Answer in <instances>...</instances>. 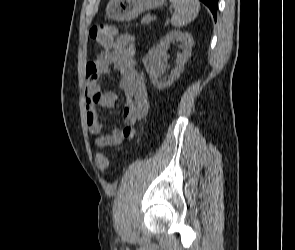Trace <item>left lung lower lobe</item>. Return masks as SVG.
<instances>
[{
    "label": "left lung lower lobe",
    "mask_w": 295,
    "mask_h": 250,
    "mask_svg": "<svg viewBox=\"0 0 295 250\" xmlns=\"http://www.w3.org/2000/svg\"><path fill=\"white\" fill-rule=\"evenodd\" d=\"M200 1L203 2L211 10L216 20L218 0H200Z\"/></svg>",
    "instance_id": "0a47b994"
}]
</instances>
